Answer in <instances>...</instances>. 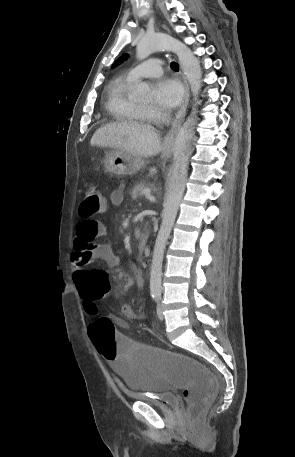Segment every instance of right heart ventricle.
Segmentation results:
<instances>
[{"mask_svg": "<svg viewBox=\"0 0 295 457\" xmlns=\"http://www.w3.org/2000/svg\"><path fill=\"white\" fill-rule=\"evenodd\" d=\"M133 81L129 77L118 79L107 88L106 108L117 121L138 123L146 120L144 107L129 95Z\"/></svg>", "mask_w": 295, "mask_h": 457, "instance_id": "1", "label": "right heart ventricle"}]
</instances>
